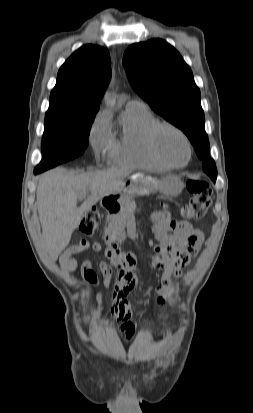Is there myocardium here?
Instances as JSON below:
<instances>
[{
	"label": "myocardium",
	"instance_id": "myocardium-1",
	"mask_svg": "<svg viewBox=\"0 0 253 413\" xmlns=\"http://www.w3.org/2000/svg\"><path fill=\"white\" fill-rule=\"evenodd\" d=\"M163 129H169V130L176 132L184 140L186 147H187L188 156H187L186 161L183 164L171 163L159 151L158 144H157V137H158L159 132ZM146 141H147L148 149L151 155L154 157V159L167 168H173V169L184 168L189 164L192 158L193 149H192V144H191L190 139L188 138V136L182 129H180L179 127H177L176 125L172 123H169V122L154 123L147 131Z\"/></svg>",
	"mask_w": 253,
	"mask_h": 413
}]
</instances>
